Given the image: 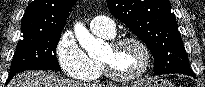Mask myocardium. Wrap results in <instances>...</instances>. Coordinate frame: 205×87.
Returning a JSON list of instances; mask_svg holds the SVG:
<instances>
[{
	"mask_svg": "<svg viewBox=\"0 0 205 87\" xmlns=\"http://www.w3.org/2000/svg\"><path fill=\"white\" fill-rule=\"evenodd\" d=\"M127 43H134L140 47V49L142 50V52L144 54V64L141 67V69L134 74L121 75V74L116 73L107 61H105L103 59H99V63L102 67V70H103L105 76L114 82L131 83V82L137 81V80L141 79L148 72V70L151 66L150 49L148 48V46L146 45V43L143 40H141L137 37L126 36V37L113 39L109 42V47L112 50H115V49L119 48L120 46L127 44Z\"/></svg>",
	"mask_w": 205,
	"mask_h": 87,
	"instance_id": "myocardium-1",
	"label": "myocardium"
}]
</instances>
